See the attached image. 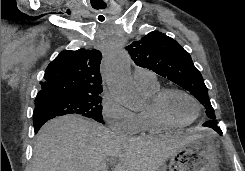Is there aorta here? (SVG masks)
Instances as JSON below:
<instances>
[{
	"instance_id": "obj_1",
	"label": "aorta",
	"mask_w": 245,
	"mask_h": 171,
	"mask_svg": "<svg viewBox=\"0 0 245 171\" xmlns=\"http://www.w3.org/2000/svg\"><path fill=\"white\" fill-rule=\"evenodd\" d=\"M131 61L124 51L117 52L106 64L103 73L110 92L130 110H140L144 101L130 75Z\"/></svg>"
}]
</instances>
